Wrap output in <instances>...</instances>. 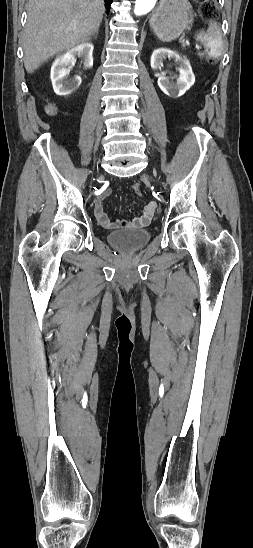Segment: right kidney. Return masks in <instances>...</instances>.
Listing matches in <instances>:
<instances>
[{
    "label": "right kidney",
    "mask_w": 253,
    "mask_h": 548,
    "mask_svg": "<svg viewBox=\"0 0 253 548\" xmlns=\"http://www.w3.org/2000/svg\"><path fill=\"white\" fill-rule=\"evenodd\" d=\"M93 44L83 42L80 45L70 49L66 53L59 55L52 64L50 78L52 81L54 92L59 96L70 95L81 84L80 76L73 79H67L68 68L73 67L76 63V57L83 58L85 68L93 66Z\"/></svg>",
    "instance_id": "obj_1"
}]
</instances>
